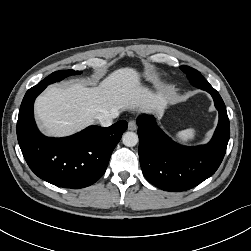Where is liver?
<instances>
[{
	"label": "liver",
	"mask_w": 251,
	"mask_h": 251,
	"mask_svg": "<svg viewBox=\"0 0 251 251\" xmlns=\"http://www.w3.org/2000/svg\"><path fill=\"white\" fill-rule=\"evenodd\" d=\"M168 98V91L153 93L141 84L136 69L126 67L109 74L97 87L82 83L48 87L37 98L35 113L46 134L66 136L92 124L106 111H160Z\"/></svg>",
	"instance_id": "6515ba94"
}]
</instances>
